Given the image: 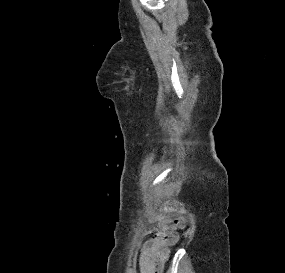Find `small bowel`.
I'll return each mask as SVG.
<instances>
[{"label": "small bowel", "mask_w": 285, "mask_h": 273, "mask_svg": "<svg viewBox=\"0 0 285 273\" xmlns=\"http://www.w3.org/2000/svg\"><path fill=\"white\" fill-rule=\"evenodd\" d=\"M161 227L167 232L147 241L141 249L139 258L141 273H156L160 270L169 258L170 247L178 240L172 231L174 226L171 221H163Z\"/></svg>", "instance_id": "c3829d8e"}]
</instances>
